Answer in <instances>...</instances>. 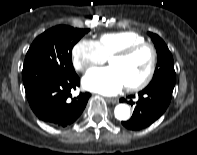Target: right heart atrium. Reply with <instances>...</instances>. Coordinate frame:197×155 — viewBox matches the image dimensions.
I'll return each instance as SVG.
<instances>
[{"instance_id": "1", "label": "right heart atrium", "mask_w": 197, "mask_h": 155, "mask_svg": "<svg viewBox=\"0 0 197 155\" xmlns=\"http://www.w3.org/2000/svg\"><path fill=\"white\" fill-rule=\"evenodd\" d=\"M106 60V55L95 40L82 39L72 49L73 66L79 72H87L91 68L105 63Z\"/></svg>"}]
</instances>
